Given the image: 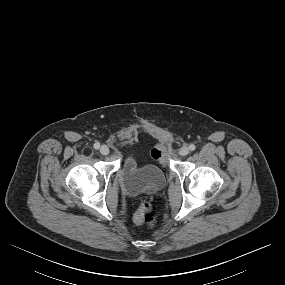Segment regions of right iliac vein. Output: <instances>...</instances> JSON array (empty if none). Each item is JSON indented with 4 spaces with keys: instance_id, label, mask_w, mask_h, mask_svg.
Returning <instances> with one entry per match:
<instances>
[{
    "instance_id": "obj_1",
    "label": "right iliac vein",
    "mask_w": 285,
    "mask_h": 285,
    "mask_svg": "<svg viewBox=\"0 0 285 285\" xmlns=\"http://www.w3.org/2000/svg\"><path fill=\"white\" fill-rule=\"evenodd\" d=\"M99 151H100V153H101L102 155H108L109 152H110V150H109V148H108L107 145H102V146L100 147Z\"/></svg>"
}]
</instances>
